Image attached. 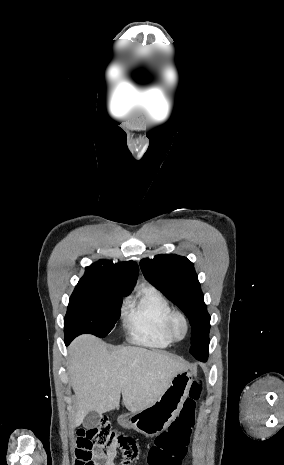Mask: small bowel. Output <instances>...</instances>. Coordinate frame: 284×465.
I'll return each mask as SVG.
<instances>
[{
  "instance_id": "1",
  "label": "small bowel",
  "mask_w": 284,
  "mask_h": 465,
  "mask_svg": "<svg viewBox=\"0 0 284 465\" xmlns=\"http://www.w3.org/2000/svg\"><path fill=\"white\" fill-rule=\"evenodd\" d=\"M117 454V447L116 444H112L108 450H107V457L103 463H100V465H114L113 459L115 458ZM99 459L102 458L101 455L97 456Z\"/></svg>"
}]
</instances>
